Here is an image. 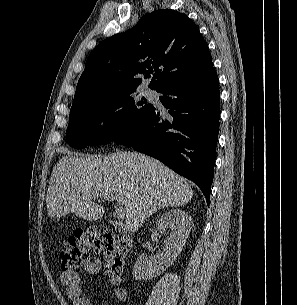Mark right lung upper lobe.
Instances as JSON below:
<instances>
[{"mask_svg":"<svg viewBox=\"0 0 297 305\" xmlns=\"http://www.w3.org/2000/svg\"><path fill=\"white\" fill-rule=\"evenodd\" d=\"M213 68L208 45L187 15L157 10L131 30L102 41L89 55L73 105L135 91L139 74L153 73L149 88L192 80Z\"/></svg>","mask_w":297,"mask_h":305,"instance_id":"obj_1","label":"right lung upper lobe"}]
</instances>
